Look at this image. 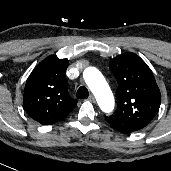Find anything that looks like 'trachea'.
I'll return each instance as SVG.
<instances>
[{"mask_svg":"<svg viewBox=\"0 0 171 171\" xmlns=\"http://www.w3.org/2000/svg\"><path fill=\"white\" fill-rule=\"evenodd\" d=\"M76 96H77V98H88V96H89L88 89L86 87H84V86H81L77 90Z\"/></svg>","mask_w":171,"mask_h":171,"instance_id":"1","label":"trachea"}]
</instances>
